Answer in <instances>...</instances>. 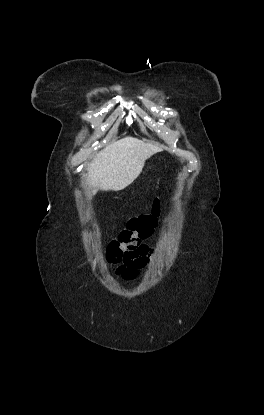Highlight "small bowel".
<instances>
[{
	"label": "small bowel",
	"instance_id": "small-bowel-1",
	"mask_svg": "<svg viewBox=\"0 0 264 415\" xmlns=\"http://www.w3.org/2000/svg\"><path fill=\"white\" fill-rule=\"evenodd\" d=\"M156 250V247L149 245L137 250L130 264L123 265L119 268L116 271V275H120L125 280L134 279L138 269L149 265Z\"/></svg>",
	"mask_w": 264,
	"mask_h": 415
}]
</instances>
